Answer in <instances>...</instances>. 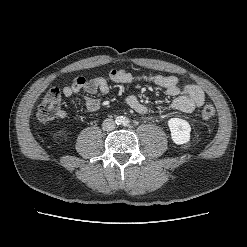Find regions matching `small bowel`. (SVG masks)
<instances>
[{"label":"small bowel","mask_w":247,"mask_h":247,"mask_svg":"<svg viewBox=\"0 0 247 247\" xmlns=\"http://www.w3.org/2000/svg\"><path fill=\"white\" fill-rule=\"evenodd\" d=\"M109 79L114 83L131 84L137 81L152 82L165 89L168 96L172 98L170 108L183 113H191L199 108L205 101L203 90L194 84L180 85L179 79L176 76H134L125 69H112L109 72ZM110 90L108 80L103 76H94L86 79L83 76H78L74 79L71 85L63 88L65 97L80 95L82 92L87 94H95L97 92L108 93ZM86 109L89 112H94L99 109L100 102L97 99L89 96H83ZM125 103L132 110L138 113H146L148 107L143 104L135 95H129L125 98ZM68 115L64 110H61L58 117L66 118Z\"/></svg>","instance_id":"small-bowel-1"}]
</instances>
